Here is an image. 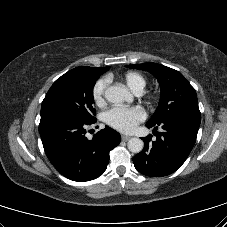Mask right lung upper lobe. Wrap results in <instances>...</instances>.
<instances>
[{
  "label": "right lung upper lobe",
  "instance_id": "1",
  "mask_svg": "<svg viewBox=\"0 0 227 227\" xmlns=\"http://www.w3.org/2000/svg\"><path fill=\"white\" fill-rule=\"evenodd\" d=\"M81 67H88V66H81ZM88 68H90V69H92L94 71H97V72H100V73L103 74L106 71H108L110 67H103V68H100V67H96V68H94V67H88Z\"/></svg>",
  "mask_w": 227,
  "mask_h": 227
}]
</instances>
